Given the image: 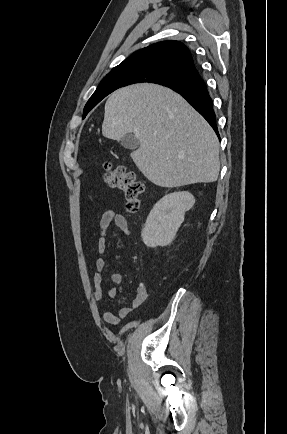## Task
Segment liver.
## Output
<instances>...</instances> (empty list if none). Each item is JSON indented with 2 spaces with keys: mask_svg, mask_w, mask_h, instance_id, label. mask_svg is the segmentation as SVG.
Returning <instances> with one entry per match:
<instances>
[{
  "mask_svg": "<svg viewBox=\"0 0 287 434\" xmlns=\"http://www.w3.org/2000/svg\"><path fill=\"white\" fill-rule=\"evenodd\" d=\"M131 132L140 143L131 158L155 185L173 188L217 180L220 162L215 132L171 89L137 84L110 95L103 136L119 141Z\"/></svg>",
  "mask_w": 287,
  "mask_h": 434,
  "instance_id": "1",
  "label": "liver"
}]
</instances>
